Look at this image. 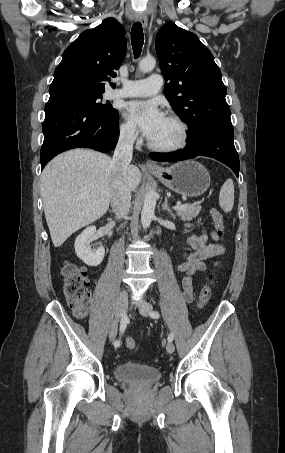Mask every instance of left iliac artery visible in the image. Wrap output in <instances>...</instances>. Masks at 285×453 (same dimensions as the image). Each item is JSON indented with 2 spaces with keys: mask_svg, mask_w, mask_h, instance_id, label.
Returning <instances> with one entry per match:
<instances>
[{
  "mask_svg": "<svg viewBox=\"0 0 285 453\" xmlns=\"http://www.w3.org/2000/svg\"><path fill=\"white\" fill-rule=\"evenodd\" d=\"M150 316H151L152 318L156 319V318H159V317H160V314H159L157 311H152V312L150 313ZM173 339H174V335H173L172 333H170L169 336H168V341H169V342H172Z\"/></svg>",
  "mask_w": 285,
  "mask_h": 453,
  "instance_id": "44dca946",
  "label": "left iliac artery"
}]
</instances>
